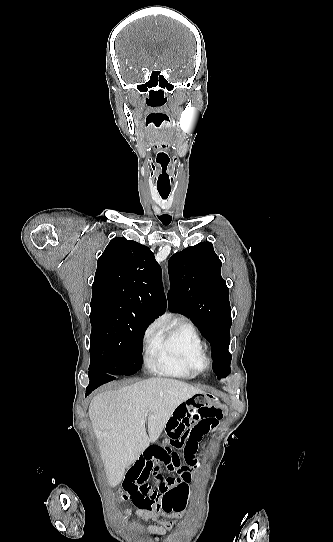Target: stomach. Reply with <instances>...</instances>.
Returning <instances> with one entry per match:
<instances>
[{
	"mask_svg": "<svg viewBox=\"0 0 333 542\" xmlns=\"http://www.w3.org/2000/svg\"><path fill=\"white\" fill-rule=\"evenodd\" d=\"M186 400H202L204 406H217L219 404L217 396H213L209 392H204V394H199V396L187 397Z\"/></svg>",
	"mask_w": 333,
	"mask_h": 542,
	"instance_id": "obj_1",
	"label": "stomach"
}]
</instances>
